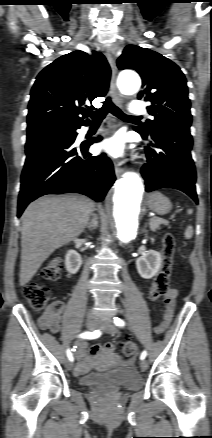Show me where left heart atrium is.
Returning <instances> with one entry per match:
<instances>
[{
  "label": "left heart atrium",
  "mask_w": 212,
  "mask_h": 438,
  "mask_svg": "<svg viewBox=\"0 0 212 438\" xmlns=\"http://www.w3.org/2000/svg\"><path fill=\"white\" fill-rule=\"evenodd\" d=\"M100 149L111 157L119 158L126 151V144L120 135L104 139L100 144Z\"/></svg>",
  "instance_id": "39dd6f15"
}]
</instances>
